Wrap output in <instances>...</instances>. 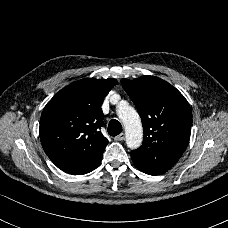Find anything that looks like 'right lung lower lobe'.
I'll return each mask as SVG.
<instances>
[{
  "label": "right lung lower lobe",
  "instance_id": "1",
  "mask_svg": "<svg viewBox=\"0 0 228 228\" xmlns=\"http://www.w3.org/2000/svg\"><path fill=\"white\" fill-rule=\"evenodd\" d=\"M102 156H103V153H101L100 155H98L97 157H95L92 161H90L89 163L79 167V168H76V169H73V170H68V171H65L67 173H70L72 175H82V174H86V173H89L91 171H93L94 169H96L101 160H102Z\"/></svg>",
  "mask_w": 228,
  "mask_h": 228
}]
</instances>
